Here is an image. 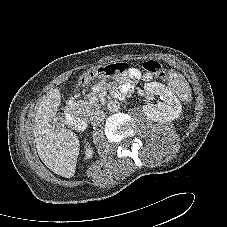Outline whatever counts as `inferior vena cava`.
<instances>
[{
    "label": "inferior vena cava",
    "instance_id": "obj_1",
    "mask_svg": "<svg viewBox=\"0 0 227 227\" xmlns=\"http://www.w3.org/2000/svg\"><path fill=\"white\" fill-rule=\"evenodd\" d=\"M105 119V113L102 110H96L90 115V121L93 125H99Z\"/></svg>",
    "mask_w": 227,
    "mask_h": 227
}]
</instances>
